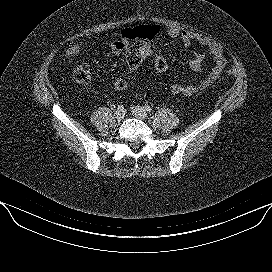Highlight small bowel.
Here are the masks:
<instances>
[{"instance_id": "obj_1", "label": "small bowel", "mask_w": 272, "mask_h": 272, "mask_svg": "<svg viewBox=\"0 0 272 272\" xmlns=\"http://www.w3.org/2000/svg\"><path fill=\"white\" fill-rule=\"evenodd\" d=\"M133 28H124L119 36L111 40L108 45L115 54H123L127 66L138 69L144 61L151 55L152 48L146 47L142 41L134 35ZM167 34L171 38H180L185 47H189L193 42L205 47L213 59V66L208 74L204 75L205 54L196 52L188 59L189 67L200 74L199 79L193 83H174L170 87V92L174 95L193 96L209 88L222 74L226 67V58L223 47L216 41L196 34L191 31L180 30L176 27H168Z\"/></svg>"}]
</instances>
